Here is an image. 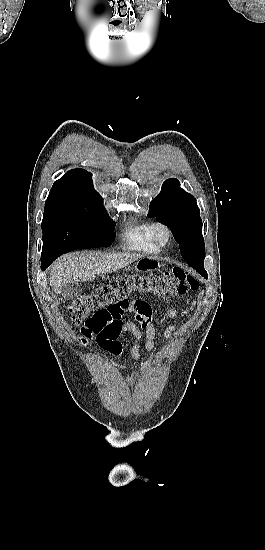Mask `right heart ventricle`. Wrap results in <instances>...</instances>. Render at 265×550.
Instances as JSON below:
<instances>
[{"instance_id": "right-heart-ventricle-1", "label": "right heart ventricle", "mask_w": 265, "mask_h": 550, "mask_svg": "<svg viewBox=\"0 0 265 550\" xmlns=\"http://www.w3.org/2000/svg\"><path fill=\"white\" fill-rule=\"evenodd\" d=\"M152 226L153 224L150 222H140L129 226L123 234L125 245L129 249L142 252H158L159 248L152 236Z\"/></svg>"}]
</instances>
